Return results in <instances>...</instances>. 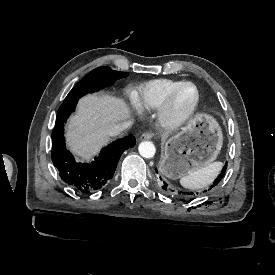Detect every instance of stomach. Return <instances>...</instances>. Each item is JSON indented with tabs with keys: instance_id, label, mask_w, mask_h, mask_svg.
Masks as SVG:
<instances>
[{
	"instance_id": "1",
	"label": "stomach",
	"mask_w": 275,
	"mask_h": 275,
	"mask_svg": "<svg viewBox=\"0 0 275 275\" xmlns=\"http://www.w3.org/2000/svg\"><path fill=\"white\" fill-rule=\"evenodd\" d=\"M160 171L170 179H179L216 160L222 147L217 122L197 115L178 134L163 140Z\"/></svg>"
}]
</instances>
